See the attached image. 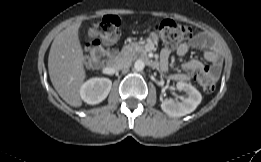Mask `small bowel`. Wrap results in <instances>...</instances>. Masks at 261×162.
Returning a JSON list of instances; mask_svg holds the SVG:
<instances>
[{
	"label": "small bowel",
	"mask_w": 261,
	"mask_h": 162,
	"mask_svg": "<svg viewBox=\"0 0 261 162\" xmlns=\"http://www.w3.org/2000/svg\"><path fill=\"white\" fill-rule=\"evenodd\" d=\"M207 35L204 33L196 34L192 39V44L196 46H204L207 42ZM189 44L182 43L177 47V54L179 56H184L188 52ZM169 55V50L164 49L162 51V58L166 59ZM204 58L211 63V68L206 69L204 64L199 60L193 59L187 61L183 64V68L187 71L196 72V71H208L214 77L220 73L221 69V58L217 49H209L204 52ZM175 80H181L183 77L180 74L174 76Z\"/></svg>",
	"instance_id": "obj_1"
}]
</instances>
